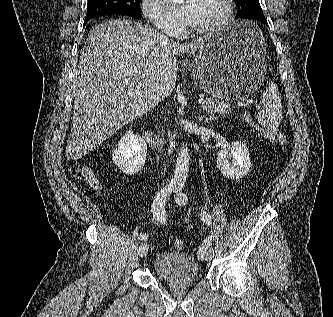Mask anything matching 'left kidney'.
<instances>
[{"mask_svg":"<svg viewBox=\"0 0 333 317\" xmlns=\"http://www.w3.org/2000/svg\"><path fill=\"white\" fill-rule=\"evenodd\" d=\"M230 157H232V160ZM217 167L228 179H241L248 174L251 167V159L248 148L239 141L232 142L231 147H228L218 153Z\"/></svg>","mask_w":333,"mask_h":317,"instance_id":"1","label":"left kidney"}]
</instances>
